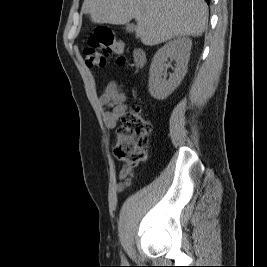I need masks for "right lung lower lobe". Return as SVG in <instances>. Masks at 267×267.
I'll return each instance as SVG.
<instances>
[{
    "instance_id": "obj_1",
    "label": "right lung lower lobe",
    "mask_w": 267,
    "mask_h": 267,
    "mask_svg": "<svg viewBox=\"0 0 267 267\" xmlns=\"http://www.w3.org/2000/svg\"><path fill=\"white\" fill-rule=\"evenodd\" d=\"M207 1V3H209L210 2V0H206Z\"/></svg>"
}]
</instances>
